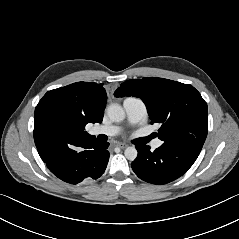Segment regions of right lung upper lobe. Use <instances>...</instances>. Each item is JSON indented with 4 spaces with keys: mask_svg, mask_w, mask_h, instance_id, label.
<instances>
[{
    "mask_svg": "<svg viewBox=\"0 0 239 239\" xmlns=\"http://www.w3.org/2000/svg\"><path fill=\"white\" fill-rule=\"evenodd\" d=\"M103 84L77 82L48 91L35 109L34 141L41 158L59 143L72 138H95L85 131L88 123H101L107 94ZM63 127L61 136L55 126Z\"/></svg>",
    "mask_w": 239,
    "mask_h": 239,
    "instance_id": "right-lung-upper-lobe-1",
    "label": "right lung upper lobe"
}]
</instances>
